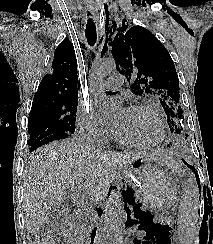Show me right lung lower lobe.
Segmentation results:
<instances>
[{"label":"right lung lower lobe","mask_w":213,"mask_h":244,"mask_svg":"<svg viewBox=\"0 0 213 244\" xmlns=\"http://www.w3.org/2000/svg\"><path fill=\"white\" fill-rule=\"evenodd\" d=\"M68 136H69V133H65V132H61V133L51 135L45 139H42L38 143L31 145L30 146V152L34 151L35 149H37L38 147H40L44 144L50 143V142L55 141V140L65 139Z\"/></svg>","instance_id":"98d812e1"}]
</instances>
